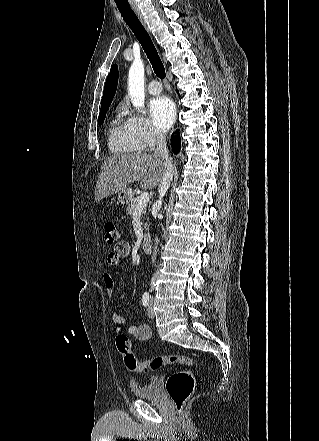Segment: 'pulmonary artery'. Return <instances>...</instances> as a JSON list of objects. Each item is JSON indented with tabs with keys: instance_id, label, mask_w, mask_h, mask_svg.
<instances>
[{
	"instance_id": "1",
	"label": "pulmonary artery",
	"mask_w": 319,
	"mask_h": 441,
	"mask_svg": "<svg viewBox=\"0 0 319 441\" xmlns=\"http://www.w3.org/2000/svg\"><path fill=\"white\" fill-rule=\"evenodd\" d=\"M162 91V87L160 83L156 80H153L148 85V92L152 95H157Z\"/></svg>"
}]
</instances>
